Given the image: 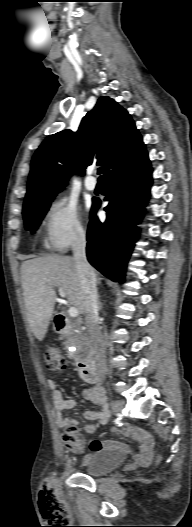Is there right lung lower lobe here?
<instances>
[{"label": "right lung lower lobe", "mask_w": 192, "mask_h": 527, "mask_svg": "<svg viewBox=\"0 0 192 527\" xmlns=\"http://www.w3.org/2000/svg\"><path fill=\"white\" fill-rule=\"evenodd\" d=\"M151 166L144 144L120 162L105 177L109 204L107 219L101 223L96 212L101 201H94L87 231L88 261L112 281L123 282L127 261L139 230L152 183Z\"/></svg>", "instance_id": "1"}]
</instances>
